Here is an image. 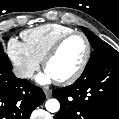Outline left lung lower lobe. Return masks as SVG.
<instances>
[{
    "instance_id": "left-lung-lower-lobe-1",
    "label": "left lung lower lobe",
    "mask_w": 119,
    "mask_h": 119,
    "mask_svg": "<svg viewBox=\"0 0 119 119\" xmlns=\"http://www.w3.org/2000/svg\"><path fill=\"white\" fill-rule=\"evenodd\" d=\"M61 107L55 119H119V53L91 65L70 86L53 90Z\"/></svg>"
}]
</instances>
